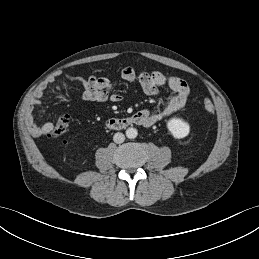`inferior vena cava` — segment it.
Masks as SVG:
<instances>
[{
    "mask_svg": "<svg viewBox=\"0 0 259 259\" xmlns=\"http://www.w3.org/2000/svg\"><path fill=\"white\" fill-rule=\"evenodd\" d=\"M124 140H125V136H124L123 133L117 132V133H115L114 136H113V141H114L115 143H117V144L123 143Z\"/></svg>",
    "mask_w": 259,
    "mask_h": 259,
    "instance_id": "1",
    "label": "inferior vena cava"
}]
</instances>
